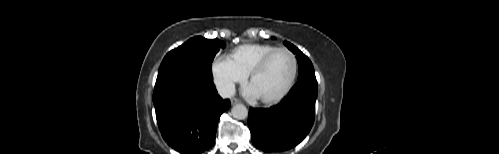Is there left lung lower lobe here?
<instances>
[{
    "instance_id": "1",
    "label": "left lung lower lobe",
    "mask_w": 499,
    "mask_h": 154,
    "mask_svg": "<svg viewBox=\"0 0 499 154\" xmlns=\"http://www.w3.org/2000/svg\"><path fill=\"white\" fill-rule=\"evenodd\" d=\"M317 89L316 80H298L280 104L250 108L253 145L264 152L286 151L298 145L313 126Z\"/></svg>"
}]
</instances>
